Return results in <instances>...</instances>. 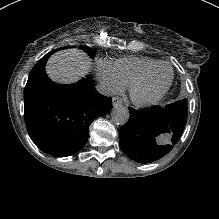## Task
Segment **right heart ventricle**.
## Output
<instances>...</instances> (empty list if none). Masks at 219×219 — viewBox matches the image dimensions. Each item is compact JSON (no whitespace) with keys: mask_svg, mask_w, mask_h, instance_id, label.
Returning a JSON list of instances; mask_svg holds the SVG:
<instances>
[{"mask_svg":"<svg viewBox=\"0 0 219 219\" xmlns=\"http://www.w3.org/2000/svg\"><path fill=\"white\" fill-rule=\"evenodd\" d=\"M158 63V60L144 56L121 57L114 61L113 71L123 85L130 86L147 69Z\"/></svg>","mask_w":219,"mask_h":219,"instance_id":"right-heart-ventricle-1","label":"right heart ventricle"}]
</instances>
